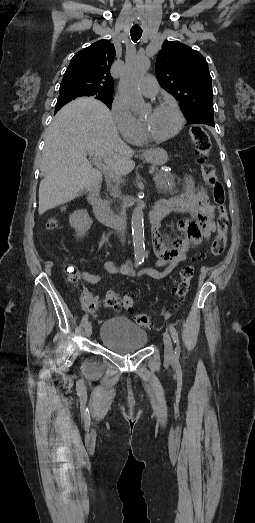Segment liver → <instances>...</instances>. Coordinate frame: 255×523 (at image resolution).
Here are the masks:
<instances>
[{"mask_svg": "<svg viewBox=\"0 0 255 523\" xmlns=\"http://www.w3.org/2000/svg\"><path fill=\"white\" fill-rule=\"evenodd\" d=\"M86 152L104 160L112 174L126 176L135 168L134 152L119 138L105 104L94 98H78L54 116L45 138L40 172L39 216L71 202L102 174L91 168Z\"/></svg>", "mask_w": 255, "mask_h": 523, "instance_id": "1", "label": "liver"}]
</instances>
